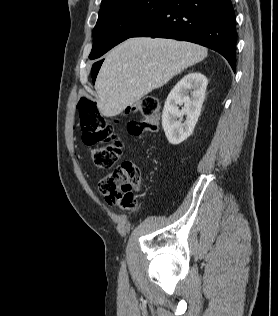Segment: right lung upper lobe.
Returning <instances> with one entry per match:
<instances>
[{
  "label": "right lung upper lobe",
  "instance_id": "obj_1",
  "mask_svg": "<svg viewBox=\"0 0 278 316\" xmlns=\"http://www.w3.org/2000/svg\"><path fill=\"white\" fill-rule=\"evenodd\" d=\"M105 1H107V0H102V2H105Z\"/></svg>",
  "mask_w": 278,
  "mask_h": 316
}]
</instances>
